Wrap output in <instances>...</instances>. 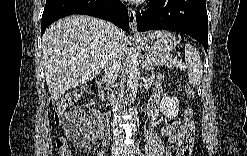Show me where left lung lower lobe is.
Here are the masks:
<instances>
[{
	"mask_svg": "<svg viewBox=\"0 0 247 156\" xmlns=\"http://www.w3.org/2000/svg\"><path fill=\"white\" fill-rule=\"evenodd\" d=\"M146 11L136 13L137 29L172 30L188 34L208 48L206 0H150Z\"/></svg>",
	"mask_w": 247,
	"mask_h": 156,
	"instance_id": "obj_1",
	"label": "left lung lower lobe"
}]
</instances>
